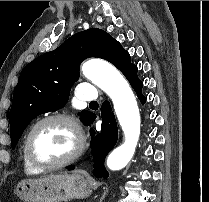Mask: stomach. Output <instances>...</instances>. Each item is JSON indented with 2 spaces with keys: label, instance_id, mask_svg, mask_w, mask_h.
<instances>
[{
  "label": "stomach",
  "instance_id": "1",
  "mask_svg": "<svg viewBox=\"0 0 209 202\" xmlns=\"http://www.w3.org/2000/svg\"><path fill=\"white\" fill-rule=\"evenodd\" d=\"M15 191L24 202H64L86 198L92 192L88 181L79 173L25 179L17 184Z\"/></svg>",
  "mask_w": 209,
  "mask_h": 202
}]
</instances>
